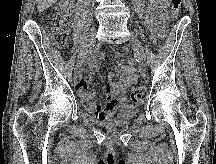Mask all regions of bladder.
<instances>
[{"label":"bladder","mask_w":216,"mask_h":164,"mask_svg":"<svg viewBox=\"0 0 216 164\" xmlns=\"http://www.w3.org/2000/svg\"><path fill=\"white\" fill-rule=\"evenodd\" d=\"M136 112L137 110L131 107L119 108L117 110V115L114 118L107 121L95 120V123L103 127L123 126L131 121Z\"/></svg>","instance_id":"31cf9c89"}]
</instances>
